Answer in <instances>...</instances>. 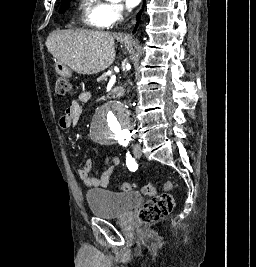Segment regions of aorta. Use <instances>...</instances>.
Returning a JSON list of instances; mask_svg holds the SVG:
<instances>
[{
	"instance_id": "1",
	"label": "aorta",
	"mask_w": 256,
	"mask_h": 267,
	"mask_svg": "<svg viewBox=\"0 0 256 267\" xmlns=\"http://www.w3.org/2000/svg\"><path fill=\"white\" fill-rule=\"evenodd\" d=\"M92 122L93 127H132L129 108L118 101H105ZM118 133H127V128H90L89 138H94V143H115Z\"/></svg>"
}]
</instances>
